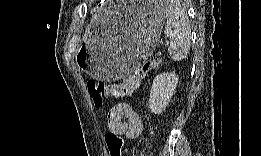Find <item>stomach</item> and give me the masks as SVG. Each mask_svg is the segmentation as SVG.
Wrapping results in <instances>:
<instances>
[{
    "mask_svg": "<svg viewBox=\"0 0 261 156\" xmlns=\"http://www.w3.org/2000/svg\"><path fill=\"white\" fill-rule=\"evenodd\" d=\"M167 9L161 2H138L127 21L104 26L99 19L78 54V64L99 80H117L146 61L160 37Z\"/></svg>",
    "mask_w": 261,
    "mask_h": 156,
    "instance_id": "0dacf381",
    "label": "stomach"
}]
</instances>
